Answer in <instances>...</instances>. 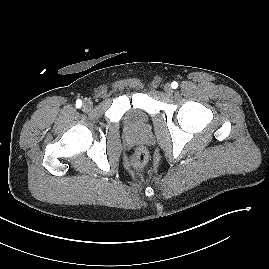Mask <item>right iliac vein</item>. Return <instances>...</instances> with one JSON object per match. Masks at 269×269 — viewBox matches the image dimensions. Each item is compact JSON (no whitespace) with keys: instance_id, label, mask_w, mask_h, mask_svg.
Wrapping results in <instances>:
<instances>
[{"instance_id":"1","label":"right iliac vein","mask_w":269,"mask_h":269,"mask_svg":"<svg viewBox=\"0 0 269 269\" xmlns=\"http://www.w3.org/2000/svg\"><path fill=\"white\" fill-rule=\"evenodd\" d=\"M93 107V102L90 99H85L83 101V108L85 110H90Z\"/></svg>"}]
</instances>
